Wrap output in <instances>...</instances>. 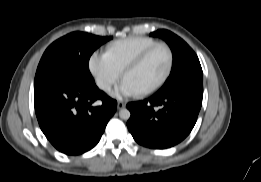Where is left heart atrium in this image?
<instances>
[{"mask_svg":"<svg viewBox=\"0 0 261 182\" xmlns=\"http://www.w3.org/2000/svg\"><path fill=\"white\" fill-rule=\"evenodd\" d=\"M138 92L127 82L123 81L119 87L113 92V96L117 98H122L125 96H132L137 94Z\"/></svg>","mask_w":261,"mask_h":182,"instance_id":"39dd6f15","label":"left heart atrium"}]
</instances>
